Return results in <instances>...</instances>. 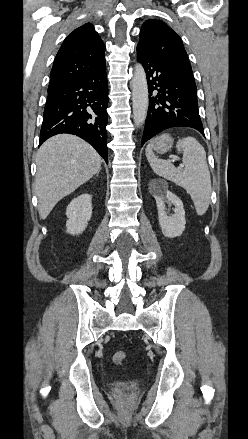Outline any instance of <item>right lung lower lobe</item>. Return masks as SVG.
Instances as JSON below:
<instances>
[{
  "instance_id": "obj_1",
  "label": "right lung lower lobe",
  "mask_w": 248,
  "mask_h": 439,
  "mask_svg": "<svg viewBox=\"0 0 248 439\" xmlns=\"http://www.w3.org/2000/svg\"><path fill=\"white\" fill-rule=\"evenodd\" d=\"M107 106L106 65L48 92L39 145L59 133L74 134L90 143L108 163Z\"/></svg>"
}]
</instances>
